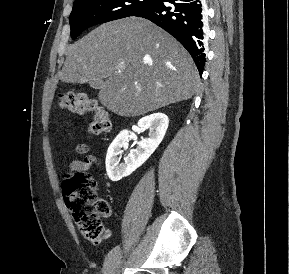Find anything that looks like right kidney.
Returning a JSON list of instances; mask_svg holds the SVG:
<instances>
[{
    "mask_svg": "<svg viewBox=\"0 0 289 274\" xmlns=\"http://www.w3.org/2000/svg\"><path fill=\"white\" fill-rule=\"evenodd\" d=\"M169 119L164 113H153L142 117L137 126L133 128L135 132H143L149 129L148 137L142 138L138 142L136 149L124 158V163H119L123 149L129 140L130 131H121L108 148L106 155V171L112 181H119L129 176L139 168L157 149L164 138L168 128Z\"/></svg>",
    "mask_w": 289,
    "mask_h": 274,
    "instance_id": "1",
    "label": "right kidney"
}]
</instances>
